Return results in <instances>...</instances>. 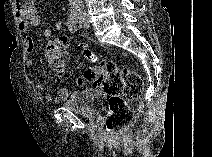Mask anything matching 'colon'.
Segmentation results:
<instances>
[{
    "mask_svg": "<svg viewBox=\"0 0 212 157\" xmlns=\"http://www.w3.org/2000/svg\"><path fill=\"white\" fill-rule=\"evenodd\" d=\"M84 54L93 62L85 70L84 79L110 96L106 132L109 136L115 137L132 122L133 113L126 99H136L140 96L142 80L135 70L120 69L114 60L96 62L88 49H84ZM67 57L66 38H57L47 44L45 59L52 72L63 75L66 70Z\"/></svg>",
    "mask_w": 212,
    "mask_h": 157,
    "instance_id": "1",
    "label": "colon"
}]
</instances>
